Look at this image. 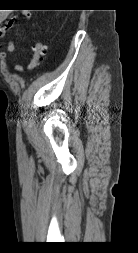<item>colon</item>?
<instances>
[{
  "label": "colon",
  "instance_id": "1",
  "mask_svg": "<svg viewBox=\"0 0 138 253\" xmlns=\"http://www.w3.org/2000/svg\"><path fill=\"white\" fill-rule=\"evenodd\" d=\"M44 53L45 46L41 42L36 43L33 47L32 58L29 64V68L32 69L40 65L43 60Z\"/></svg>",
  "mask_w": 138,
  "mask_h": 253
}]
</instances>
